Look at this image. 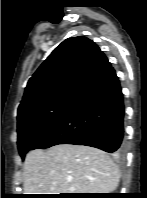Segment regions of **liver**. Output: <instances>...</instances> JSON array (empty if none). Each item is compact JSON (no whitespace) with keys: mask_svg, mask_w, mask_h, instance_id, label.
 Returning a JSON list of instances; mask_svg holds the SVG:
<instances>
[{"mask_svg":"<svg viewBox=\"0 0 147 198\" xmlns=\"http://www.w3.org/2000/svg\"><path fill=\"white\" fill-rule=\"evenodd\" d=\"M119 179L110 156L85 145L59 144L25 157L24 194L110 193Z\"/></svg>","mask_w":147,"mask_h":198,"instance_id":"liver-1","label":"liver"}]
</instances>
